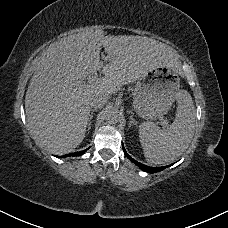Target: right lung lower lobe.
Listing matches in <instances>:
<instances>
[{"instance_id":"obj_1","label":"right lung lower lobe","mask_w":228,"mask_h":228,"mask_svg":"<svg viewBox=\"0 0 228 228\" xmlns=\"http://www.w3.org/2000/svg\"><path fill=\"white\" fill-rule=\"evenodd\" d=\"M85 151H86V150L81 151V152L73 153L72 156H79V155L85 153ZM67 156H71V154H66L65 156H61V158H62V157H67Z\"/></svg>"}]
</instances>
